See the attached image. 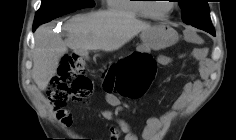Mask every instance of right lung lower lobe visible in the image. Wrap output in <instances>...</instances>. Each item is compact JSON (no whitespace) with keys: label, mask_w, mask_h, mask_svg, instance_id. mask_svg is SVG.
<instances>
[{"label":"right lung lower lobe","mask_w":236,"mask_h":140,"mask_svg":"<svg viewBox=\"0 0 236 140\" xmlns=\"http://www.w3.org/2000/svg\"><path fill=\"white\" fill-rule=\"evenodd\" d=\"M38 26H33V31L37 28Z\"/></svg>","instance_id":"98d812e1"}]
</instances>
